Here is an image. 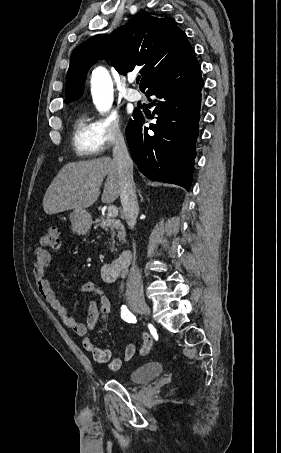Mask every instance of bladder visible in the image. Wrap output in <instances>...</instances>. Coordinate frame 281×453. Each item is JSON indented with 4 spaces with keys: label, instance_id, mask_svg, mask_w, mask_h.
<instances>
[{
    "label": "bladder",
    "instance_id": "1",
    "mask_svg": "<svg viewBox=\"0 0 281 453\" xmlns=\"http://www.w3.org/2000/svg\"><path fill=\"white\" fill-rule=\"evenodd\" d=\"M163 371L159 362H149L134 369L128 376L131 383H143L152 380Z\"/></svg>",
    "mask_w": 281,
    "mask_h": 453
}]
</instances>
